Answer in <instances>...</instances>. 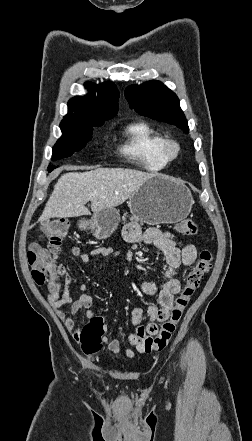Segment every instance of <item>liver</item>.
<instances>
[{
	"instance_id": "1",
	"label": "liver",
	"mask_w": 252,
	"mask_h": 441,
	"mask_svg": "<svg viewBox=\"0 0 252 441\" xmlns=\"http://www.w3.org/2000/svg\"><path fill=\"white\" fill-rule=\"evenodd\" d=\"M152 176V173L126 168H96L63 174L54 185L38 221L89 215L90 211L85 206L89 201L94 214L115 208Z\"/></svg>"
}]
</instances>
